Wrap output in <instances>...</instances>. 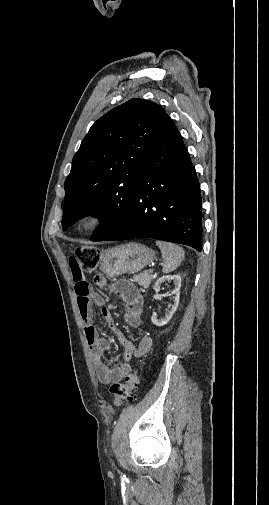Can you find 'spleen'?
I'll list each match as a JSON object with an SVG mask.
<instances>
[{
	"mask_svg": "<svg viewBox=\"0 0 269 505\" xmlns=\"http://www.w3.org/2000/svg\"><path fill=\"white\" fill-rule=\"evenodd\" d=\"M156 245L160 248L163 258L162 271L170 273L174 271L185 257V252L182 247L177 244L156 241Z\"/></svg>",
	"mask_w": 269,
	"mask_h": 505,
	"instance_id": "obj_1",
	"label": "spleen"
}]
</instances>
